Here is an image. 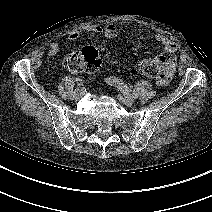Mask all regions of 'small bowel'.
I'll return each instance as SVG.
<instances>
[{
  "instance_id": "obj_1",
  "label": "small bowel",
  "mask_w": 212,
  "mask_h": 212,
  "mask_svg": "<svg viewBox=\"0 0 212 212\" xmlns=\"http://www.w3.org/2000/svg\"><path fill=\"white\" fill-rule=\"evenodd\" d=\"M84 31L90 32V33H97V34H104L109 39H114L118 35V27L113 23H107L103 26L101 25H88L84 28ZM80 34L78 31L74 30L71 31L68 35V39L72 42L77 41ZM152 36L154 39H156L158 42H160L163 46V50L167 54H174L178 50V44L171 40L166 38L165 36L159 34V33H152ZM61 50V47L58 43H51L48 49V54L51 56L56 55ZM162 57L165 59V66L163 68V77L161 80H157L160 85H166L176 68V59L174 57H165V56H156V58Z\"/></svg>"
}]
</instances>
